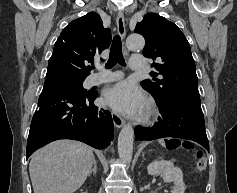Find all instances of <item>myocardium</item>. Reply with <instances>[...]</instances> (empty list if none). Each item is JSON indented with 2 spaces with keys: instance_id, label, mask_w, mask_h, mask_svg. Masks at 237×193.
Segmentation results:
<instances>
[{
  "instance_id": "1",
  "label": "myocardium",
  "mask_w": 237,
  "mask_h": 193,
  "mask_svg": "<svg viewBox=\"0 0 237 193\" xmlns=\"http://www.w3.org/2000/svg\"><path fill=\"white\" fill-rule=\"evenodd\" d=\"M157 115V109L154 105H150L146 114V119L153 118Z\"/></svg>"
}]
</instances>
